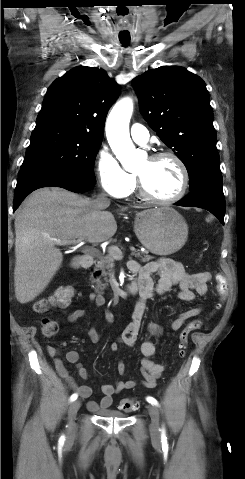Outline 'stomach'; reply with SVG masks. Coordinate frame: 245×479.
<instances>
[{
    "label": "stomach",
    "instance_id": "stomach-1",
    "mask_svg": "<svg viewBox=\"0 0 245 479\" xmlns=\"http://www.w3.org/2000/svg\"><path fill=\"white\" fill-rule=\"evenodd\" d=\"M134 231L141 244L157 255L180 250L188 237V225L173 208L158 207L136 213Z\"/></svg>",
    "mask_w": 245,
    "mask_h": 479
}]
</instances>
